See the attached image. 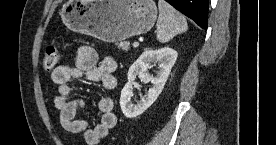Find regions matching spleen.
Wrapping results in <instances>:
<instances>
[{
	"instance_id": "spleen-1",
	"label": "spleen",
	"mask_w": 276,
	"mask_h": 145,
	"mask_svg": "<svg viewBox=\"0 0 276 145\" xmlns=\"http://www.w3.org/2000/svg\"><path fill=\"white\" fill-rule=\"evenodd\" d=\"M157 39L166 43L174 36L187 31V21L174 7L164 0L158 1Z\"/></svg>"
}]
</instances>
